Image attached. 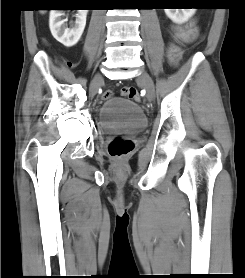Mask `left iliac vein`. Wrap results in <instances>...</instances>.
<instances>
[{"label":"left iliac vein","instance_id":"left-iliac-vein-1","mask_svg":"<svg viewBox=\"0 0 245 278\" xmlns=\"http://www.w3.org/2000/svg\"><path fill=\"white\" fill-rule=\"evenodd\" d=\"M137 81L143 84L147 99L152 101L155 97V87L150 75L145 70H141L137 76Z\"/></svg>","mask_w":245,"mask_h":278}]
</instances>
